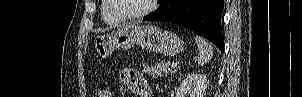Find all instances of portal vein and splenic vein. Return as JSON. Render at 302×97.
Segmentation results:
<instances>
[{"instance_id":"obj_1","label":"portal vein and splenic vein","mask_w":302,"mask_h":97,"mask_svg":"<svg viewBox=\"0 0 302 97\" xmlns=\"http://www.w3.org/2000/svg\"><path fill=\"white\" fill-rule=\"evenodd\" d=\"M171 67L172 68H176L177 67V63H172Z\"/></svg>"}]
</instances>
